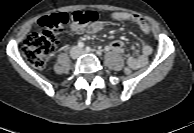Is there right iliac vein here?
<instances>
[{"mask_svg":"<svg viewBox=\"0 0 194 133\" xmlns=\"http://www.w3.org/2000/svg\"><path fill=\"white\" fill-rule=\"evenodd\" d=\"M79 56V50L77 48H74L72 51H71V57L73 59H76L77 57Z\"/></svg>","mask_w":194,"mask_h":133,"instance_id":"right-iliac-vein-1","label":"right iliac vein"}]
</instances>
